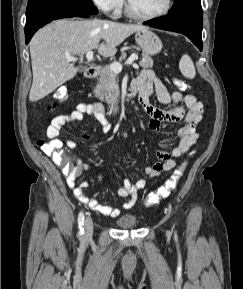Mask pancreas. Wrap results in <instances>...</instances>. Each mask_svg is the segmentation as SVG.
<instances>
[{
	"instance_id": "pancreas-1",
	"label": "pancreas",
	"mask_w": 243,
	"mask_h": 289,
	"mask_svg": "<svg viewBox=\"0 0 243 289\" xmlns=\"http://www.w3.org/2000/svg\"><path fill=\"white\" fill-rule=\"evenodd\" d=\"M137 51L139 48L133 47ZM129 49V48H127ZM126 57V53H122L119 61ZM139 65L145 69L153 67L152 58L142 53V60L139 62ZM95 97H97L101 101H114L119 96V86L117 75L111 70L110 66H105L101 69L98 84L94 88Z\"/></svg>"
}]
</instances>
